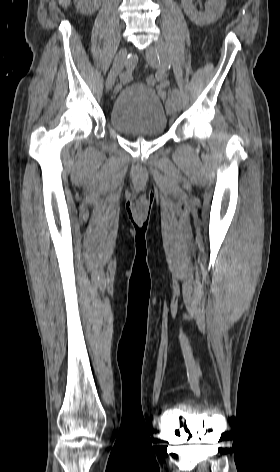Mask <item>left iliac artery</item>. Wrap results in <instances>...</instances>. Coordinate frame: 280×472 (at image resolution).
I'll return each mask as SVG.
<instances>
[{
	"instance_id": "1",
	"label": "left iliac artery",
	"mask_w": 280,
	"mask_h": 472,
	"mask_svg": "<svg viewBox=\"0 0 280 472\" xmlns=\"http://www.w3.org/2000/svg\"><path fill=\"white\" fill-rule=\"evenodd\" d=\"M156 49L158 51V54H159V57H160L161 61L163 63H165L166 65L170 66V61H169V57H168L165 46L164 45H157ZM172 97H173L175 103L177 104V107H180V93H179L178 89H176V88L173 89Z\"/></svg>"
}]
</instances>
